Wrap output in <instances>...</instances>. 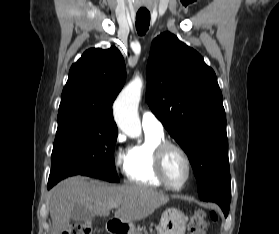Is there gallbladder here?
I'll return each mask as SVG.
<instances>
[{
	"label": "gallbladder",
	"instance_id": "bac80fb5",
	"mask_svg": "<svg viewBox=\"0 0 279 234\" xmlns=\"http://www.w3.org/2000/svg\"><path fill=\"white\" fill-rule=\"evenodd\" d=\"M71 219L76 221H90L93 219V214L81 205H75L71 212Z\"/></svg>",
	"mask_w": 279,
	"mask_h": 234
}]
</instances>
